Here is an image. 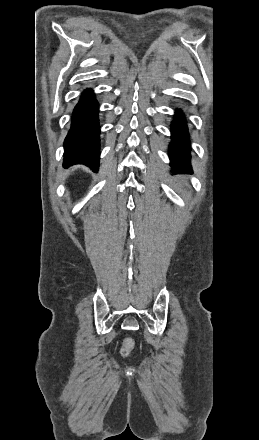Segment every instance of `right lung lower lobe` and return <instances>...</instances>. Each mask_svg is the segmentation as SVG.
Wrapping results in <instances>:
<instances>
[{
    "mask_svg": "<svg viewBox=\"0 0 259 440\" xmlns=\"http://www.w3.org/2000/svg\"><path fill=\"white\" fill-rule=\"evenodd\" d=\"M98 104L91 90H85L72 114L71 129L64 142V167L85 164L99 167Z\"/></svg>",
    "mask_w": 259,
    "mask_h": 440,
    "instance_id": "obj_1",
    "label": "right lung lower lobe"
}]
</instances>
